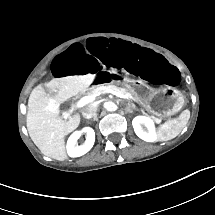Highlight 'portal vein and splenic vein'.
<instances>
[{
    "instance_id": "obj_1",
    "label": "portal vein and splenic vein",
    "mask_w": 215,
    "mask_h": 215,
    "mask_svg": "<svg viewBox=\"0 0 215 215\" xmlns=\"http://www.w3.org/2000/svg\"><path fill=\"white\" fill-rule=\"evenodd\" d=\"M105 93H110V94H112L116 97H120V98L124 97V94L121 93L120 91L114 89L113 86H110V88L108 86L102 87V94H105ZM98 95H100V93H93L91 95L83 96L79 101V106L82 107V106L87 105L90 102H93Z\"/></svg>"
}]
</instances>
